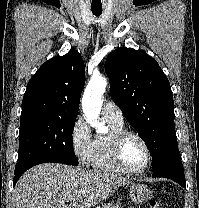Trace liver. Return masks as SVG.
Here are the masks:
<instances>
[{
	"label": "liver",
	"instance_id": "obj_1",
	"mask_svg": "<svg viewBox=\"0 0 199 208\" xmlns=\"http://www.w3.org/2000/svg\"><path fill=\"white\" fill-rule=\"evenodd\" d=\"M127 183L128 178L107 171L45 163L20 178L14 201L16 208H91ZM68 198H72L69 205Z\"/></svg>",
	"mask_w": 199,
	"mask_h": 208
}]
</instances>
